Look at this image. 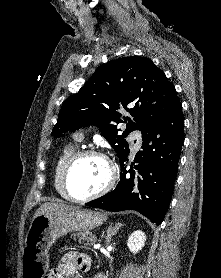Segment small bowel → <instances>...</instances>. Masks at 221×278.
<instances>
[{"mask_svg":"<svg viewBox=\"0 0 221 278\" xmlns=\"http://www.w3.org/2000/svg\"><path fill=\"white\" fill-rule=\"evenodd\" d=\"M92 266V258L84 253L72 251L66 253L46 278H79L78 270H88ZM98 278H105L100 276Z\"/></svg>","mask_w":221,"mask_h":278,"instance_id":"obj_1","label":"small bowel"}]
</instances>
